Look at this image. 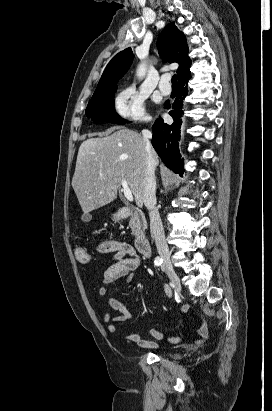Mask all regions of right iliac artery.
Returning <instances> with one entry per match:
<instances>
[{"instance_id": "obj_1", "label": "right iliac artery", "mask_w": 272, "mask_h": 411, "mask_svg": "<svg viewBox=\"0 0 272 411\" xmlns=\"http://www.w3.org/2000/svg\"><path fill=\"white\" fill-rule=\"evenodd\" d=\"M162 262H163L162 258L156 257L155 260H154V265L155 266H160L162 264Z\"/></svg>"}]
</instances>
